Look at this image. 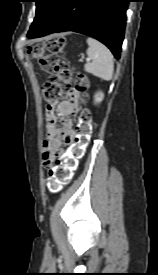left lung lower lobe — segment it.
Here are the masks:
<instances>
[{"mask_svg":"<svg viewBox=\"0 0 158 275\" xmlns=\"http://www.w3.org/2000/svg\"><path fill=\"white\" fill-rule=\"evenodd\" d=\"M129 0H62L46 24L29 38L74 31L92 36L120 58Z\"/></svg>","mask_w":158,"mask_h":275,"instance_id":"1","label":"left lung lower lobe"}]
</instances>
